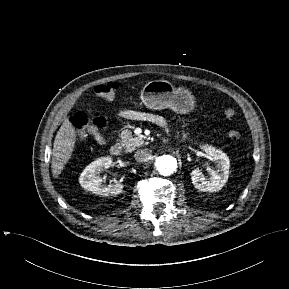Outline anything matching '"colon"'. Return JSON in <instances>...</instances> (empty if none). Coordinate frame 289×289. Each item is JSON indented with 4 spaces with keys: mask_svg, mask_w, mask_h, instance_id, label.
<instances>
[{
    "mask_svg": "<svg viewBox=\"0 0 289 289\" xmlns=\"http://www.w3.org/2000/svg\"><path fill=\"white\" fill-rule=\"evenodd\" d=\"M118 84L115 82H108L105 84H100L95 87V93L97 96L103 99L111 100L114 98ZM224 115L228 119L235 117V111L232 108H226L224 110ZM71 125L76 129L77 137L79 139L86 135V132L91 128L101 129L106 126V120L104 117L95 116L89 117L83 112H78L70 118ZM228 136L232 140H238L240 138V133L236 130H230Z\"/></svg>",
    "mask_w": 289,
    "mask_h": 289,
    "instance_id": "obj_1",
    "label": "colon"
}]
</instances>
